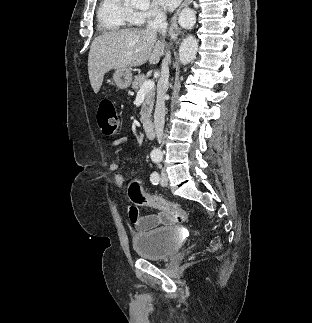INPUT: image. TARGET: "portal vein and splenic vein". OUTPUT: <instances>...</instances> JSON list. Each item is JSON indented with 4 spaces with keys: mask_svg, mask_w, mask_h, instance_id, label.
<instances>
[{
    "mask_svg": "<svg viewBox=\"0 0 312 323\" xmlns=\"http://www.w3.org/2000/svg\"><path fill=\"white\" fill-rule=\"evenodd\" d=\"M155 82H152V80H147V82H144L143 86H141L137 96H140V94H146L148 90H151V88H154Z\"/></svg>",
    "mask_w": 312,
    "mask_h": 323,
    "instance_id": "1",
    "label": "portal vein and splenic vein"
}]
</instances>
